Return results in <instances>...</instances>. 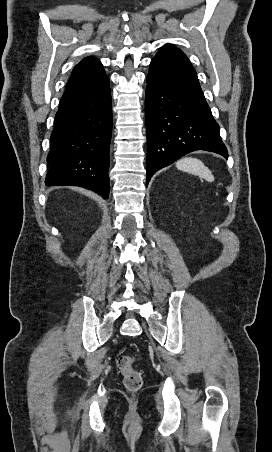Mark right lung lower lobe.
<instances>
[{
  "label": "right lung lower lobe",
  "instance_id": "obj_1",
  "mask_svg": "<svg viewBox=\"0 0 272 452\" xmlns=\"http://www.w3.org/2000/svg\"><path fill=\"white\" fill-rule=\"evenodd\" d=\"M111 133L109 78L67 89L51 134L46 186H80L107 199Z\"/></svg>",
  "mask_w": 272,
  "mask_h": 452
}]
</instances>
